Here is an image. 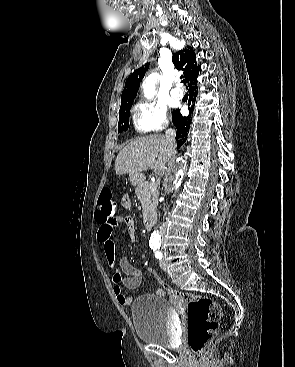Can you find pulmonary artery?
I'll list each match as a JSON object with an SVG mask.
<instances>
[{"label": "pulmonary artery", "mask_w": 295, "mask_h": 367, "mask_svg": "<svg viewBox=\"0 0 295 367\" xmlns=\"http://www.w3.org/2000/svg\"><path fill=\"white\" fill-rule=\"evenodd\" d=\"M171 95L173 98L179 100L183 98V91L181 90V88L176 87L172 90Z\"/></svg>", "instance_id": "pulmonary-artery-1"}]
</instances>
